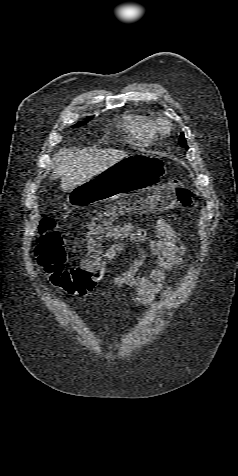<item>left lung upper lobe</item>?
Here are the masks:
<instances>
[{"mask_svg": "<svg viewBox=\"0 0 238 476\" xmlns=\"http://www.w3.org/2000/svg\"><path fill=\"white\" fill-rule=\"evenodd\" d=\"M179 144H180L182 147L188 149V146H187V144H186V140H185V138H184V134H181V135H180Z\"/></svg>", "mask_w": 238, "mask_h": 476, "instance_id": "1", "label": "left lung upper lobe"}]
</instances>
